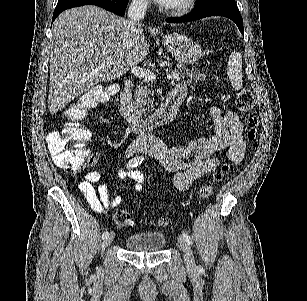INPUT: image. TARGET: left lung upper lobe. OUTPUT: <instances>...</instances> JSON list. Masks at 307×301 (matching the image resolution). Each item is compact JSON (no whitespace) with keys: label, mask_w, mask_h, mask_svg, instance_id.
<instances>
[{"label":"left lung upper lobe","mask_w":307,"mask_h":301,"mask_svg":"<svg viewBox=\"0 0 307 301\" xmlns=\"http://www.w3.org/2000/svg\"><path fill=\"white\" fill-rule=\"evenodd\" d=\"M209 7L227 8L239 10L235 0H197V5L194 9L200 10Z\"/></svg>","instance_id":"1"}]
</instances>
